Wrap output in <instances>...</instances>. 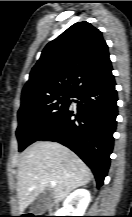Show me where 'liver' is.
<instances>
[{"label": "liver", "mask_w": 132, "mask_h": 217, "mask_svg": "<svg viewBox=\"0 0 132 217\" xmlns=\"http://www.w3.org/2000/svg\"><path fill=\"white\" fill-rule=\"evenodd\" d=\"M91 178L87 165L67 147L50 141L35 142L24 150L18 164V214L51 186V181L56 182L51 186L52 198L60 202Z\"/></svg>", "instance_id": "1"}]
</instances>
